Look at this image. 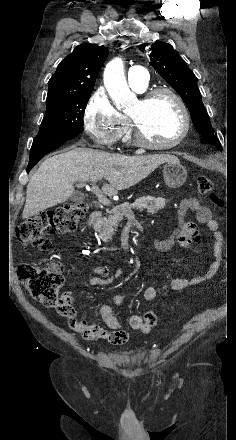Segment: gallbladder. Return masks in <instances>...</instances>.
<instances>
[{"label": "gallbladder", "mask_w": 236, "mask_h": 440, "mask_svg": "<svg viewBox=\"0 0 236 440\" xmlns=\"http://www.w3.org/2000/svg\"><path fill=\"white\" fill-rule=\"evenodd\" d=\"M82 198H83V196H82L81 193H74V194L71 196V199H72L73 201H81Z\"/></svg>", "instance_id": "gallbladder-1"}]
</instances>
